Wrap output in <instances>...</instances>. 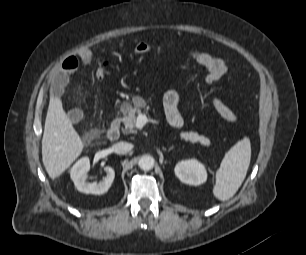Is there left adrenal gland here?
I'll use <instances>...</instances> for the list:
<instances>
[{
    "label": "left adrenal gland",
    "mask_w": 306,
    "mask_h": 255,
    "mask_svg": "<svg viewBox=\"0 0 306 255\" xmlns=\"http://www.w3.org/2000/svg\"><path fill=\"white\" fill-rule=\"evenodd\" d=\"M173 149H174V146L170 147V148L168 149V152H170V151L173 150Z\"/></svg>",
    "instance_id": "left-adrenal-gland-1"
}]
</instances>
